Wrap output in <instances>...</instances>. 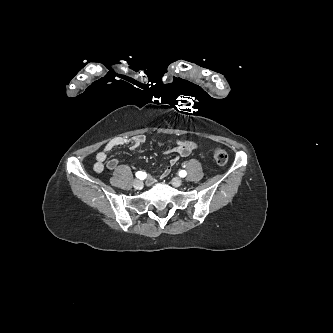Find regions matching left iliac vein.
I'll use <instances>...</instances> for the list:
<instances>
[{
    "mask_svg": "<svg viewBox=\"0 0 333 333\" xmlns=\"http://www.w3.org/2000/svg\"><path fill=\"white\" fill-rule=\"evenodd\" d=\"M171 182H172L173 186H175V187H179L183 183L182 179H180L178 177L173 178Z\"/></svg>",
    "mask_w": 333,
    "mask_h": 333,
    "instance_id": "left-iliac-vein-1",
    "label": "left iliac vein"
}]
</instances>
